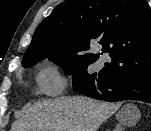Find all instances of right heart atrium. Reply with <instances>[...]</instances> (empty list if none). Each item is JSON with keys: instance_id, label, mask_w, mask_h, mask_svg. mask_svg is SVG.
<instances>
[{"instance_id": "obj_1", "label": "right heart atrium", "mask_w": 151, "mask_h": 131, "mask_svg": "<svg viewBox=\"0 0 151 131\" xmlns=\"http://www.w3.org/2000/svg\"><path fill=\"white\" fill-rule=\"evenodd\" d=\"M37 82L39 88L47 94L56 95L63 91L65 87V78L61 68L55 61H47L40 69Z\"/></svg>"}]
</instances>
